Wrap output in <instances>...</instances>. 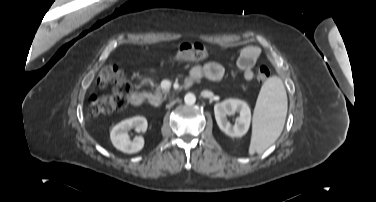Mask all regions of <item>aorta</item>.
<instances>
[{
  "label": "aorta",
  "mask_w": 376,
  "mask_h": 202,
  "mask_svg": "<svg viewBox=\"0 0 376 202\" xmlns=\"http://www.w3.org/2000/svg\"><path fill=\"white\" fill-rule=\"evenodd\" d=\"M184 102L187 105H193L196 102V97L193 93H187L184 97Z\"/></svg>",
  "instance_id": "1"
}]
</instances>
